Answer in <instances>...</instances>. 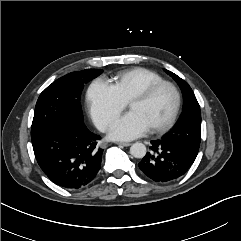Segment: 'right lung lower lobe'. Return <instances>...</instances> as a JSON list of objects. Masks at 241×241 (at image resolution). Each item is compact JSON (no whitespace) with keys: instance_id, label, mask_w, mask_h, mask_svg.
Here are the masks:
<instances>
[{"instance_id":"obj_1","label":"right lung lower lobe","mask_w":241,"mask_h":241,"mask_svg":"<svg viewBox=\"0 0 241 241\" xmlns=\"http://www.w3.org/2000/svg\"><path fill=\"white\" fill-rule=\"evenodd\" d=\"M100 136L84 123H60L32 140L37 162L47 177L67 189L92 182L100 167L103 149Z\"/></svg>"}]
</instances>
